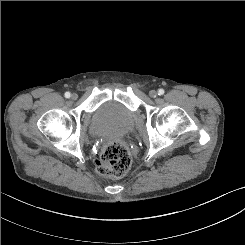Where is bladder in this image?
<instances>
[{
  "label": "bladder",
  "instance_id": "obj_1",
  "mask_svg": "<svg viewBox=\"0 0 245 245\" xmlns=\"http://www.w3.org/2000/svg\"><path fill=\"white\" fill-rule=\"evenodd\" d=\"M134 127L135 115L131 110L115 102H106L93 113L89 131L99 137L124 136Z\"/></svg>",
  "mask_w": 245,
  "mask_h": 245
}]
</instances>
